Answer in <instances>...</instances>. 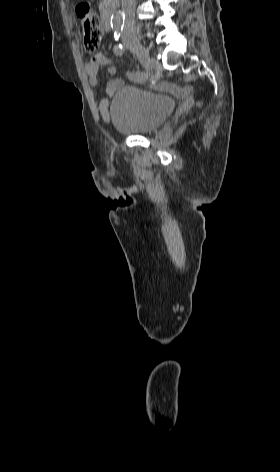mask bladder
Listing matches in <instances>:
<instances>
[{
  "instance_id": "31cf9c89",
  "label": "bladder",
  "mask_w": 280,
  "mask_h": 472,
  "mask_svg": "<svg viewBox=\"0 0 280 472\" xmlns=\"http://www.w3.org/2000/svg\"><path fill=\"white\" fill-rule=\"evenodd\" d=\"M174 108V100L165 94L126 85L115 94L110 117L119 132L144 134L160 127Z\"/></svg>"
}]
</instances>
